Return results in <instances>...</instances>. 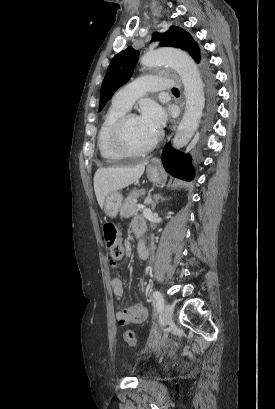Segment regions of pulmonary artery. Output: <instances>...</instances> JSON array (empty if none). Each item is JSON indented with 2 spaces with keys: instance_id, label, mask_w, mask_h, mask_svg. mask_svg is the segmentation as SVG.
<instances>
[{
  "instance_id": "e3ab8cb5",
  "label": "pulmonary artery",
  "mask_w": 275,
  "mask_h": 409,
  "mask_svg": "<svg viewBox=\"0 0 275 409\" xmlns=\"http://www.w3.org/2000/svg\"><path fill=\"white\" fill-rule=\"evenodd\" d=\"M165 75H141L139 79H132L130 85H122L112 103L124 110H130L140 94H153L154 88H175L178 82L175 79H164Z\"/></svg>"
}]
</instances>
